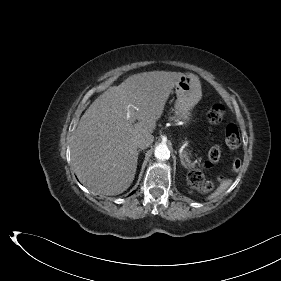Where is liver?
Wrapping results in <instances>:
<instances>
[{
  "label": "liver",
  "instance_id": "1",
  "mask_svg": "<svg viewBox=\"0 0 281 281\" xmlns=\"http://www.w3.org/2000/svg\"><path fill=\"white\" fill-rule=\"evenodd\" d=\"M182 76L171 71L134 74L94 100L82 115L70 145L74 171L85 186L104 195H118L130 187L138 161L136 141L154 132ZM129 105L136 123L126 118Z\"/></svg>",
  "mask_w": 281,
  "mask_h": 281
}]
</instances>
